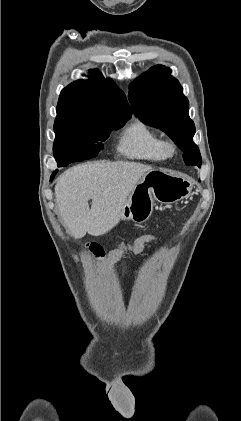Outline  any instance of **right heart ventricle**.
<instances>
[{"instance_id": "right-heart-ventricle-1", "label": "right heart ventricle", "mask_w": 241, "mask_h": 421, "mask_svg": "<svg viewBox=\"0 0 241 421\" xmlns=\"http://www.w3.org/2000/svg\"><path fill=\"white\" fill-rule=\"evenodd\" d=\"M163 141L154 129L137 120L123 131L118 149L129 158L161 162L166 158Z\"/></svg>"}]
</instances>
